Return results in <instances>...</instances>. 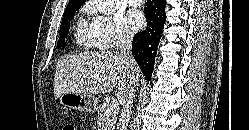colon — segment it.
<instances>
[{"label": "colon", "mask_w": 249, "mask_h": 130, "mask_svg": "<svg viewBox=\"0 0 249 130\" xmlns=\"http://www.w3.org/2000/svg\"><path fill=\"white\" fill-rule=\"evenodd\" d=\"M62 130H76V127L72 123H67L63 126Z\"/></svg>", "instance_id": "colon-1"}]
</instances>
